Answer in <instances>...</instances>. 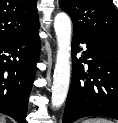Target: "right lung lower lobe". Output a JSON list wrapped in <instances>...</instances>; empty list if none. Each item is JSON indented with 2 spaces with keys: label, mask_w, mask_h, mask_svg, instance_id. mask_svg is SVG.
Returning <instances> with one entry per match:
<instances>
[{
  "label": "right lung lower lobe",
  "mask_w": 118,
  "mask_h": 123,
  "mask_svg": "<svg viewBox=\"0 0 118 123\" xmlns=\"http://www.w3.org/2000/svg\"><path fill=\"white\" fill-rule=\"evenodd\" d=\"M39 56L38 30L28 37L0 43V113L18 123L26 122Z\"/></svg>",
  "instance_id": "98d812e1"
}]
</instances>
